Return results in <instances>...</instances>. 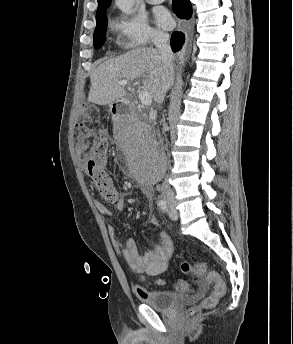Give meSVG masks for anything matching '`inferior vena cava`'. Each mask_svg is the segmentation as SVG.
I'll return each mask as SVG.
<instances>
[{"instance_id":"inferior-vena-cava-1","label":"inferior vena cava","mask_w":293,"mask_h":344,"mask_svg":"<svg viewBox=\"0 0 293 344\" xmlns=\"http://www.w3.org/2000/svg\"><path fill=\"white\" fill-rule=\"evenodd\" d=\"M152 41L160 53L165 71L167 73L172 72L174 54L170 47L169 35L163 32H154L152 34ZM161 191L164 198L174 197V193L170 188L167 180L163 182Z\"/></svg>"}]
</instances>
